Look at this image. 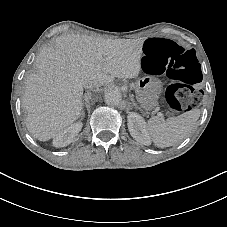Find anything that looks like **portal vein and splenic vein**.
Here are the masks:
<instances>
[{
	"label": "portal vein and splenic vein",
	"instance_id": "obj_1",
	"mask_svg": "<svg viewBox=\"0 0 227 227\" xmlns=\"http://www.w3.org/2000/svg\"><path fill=\"white\" fill-rule=\"evenodd\" d=\"M158 116L160 117V120H161L162 122H165V121H166V117H165V115L163 114L162 111H159V112H158Z\"/></svg>",
	"mask_w": 227,
	"mask_h": 227
}]
</instances>
